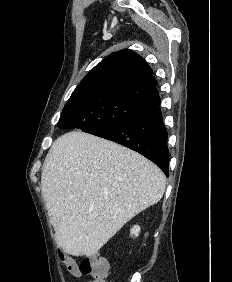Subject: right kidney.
<instances>
[{
	"label": "right kidney",
	"mask_w": 232,
	"mask_h": 282,
	"mask_svg": "<svg viewBox=\"0 0 232 282\" xmlns=\"http://www.w3.org/2000/svg\"><path fill=\"white\" fill-rule=\"evenodd\" d=\"M131 235L137 237L140 233V227L138 225H135L132 229H131Z\"/></svg>",
	"instance_id": "obj_1"
}]
</instances>
